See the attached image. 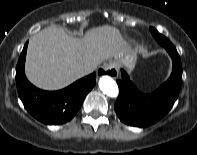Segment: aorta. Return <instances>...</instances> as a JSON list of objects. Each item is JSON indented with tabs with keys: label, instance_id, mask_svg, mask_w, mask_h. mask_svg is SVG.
<instances>
[{
	"label": "aorta",
	"instance_id": "obj_1",
	"mask_svg": "<svg viewBox=\"0 0 197 155\" xmlns=\"http://www.w3.org/2000/svg\"><path fill=\"white\" fill-rule=\"evenodd\" d=\"M100 90L109 97H117L119 90L117 83L109 76H102L99 79Z\"/></svg>",
	"mask_w": 197,
	"mask_h": 155
}]
</instances>
